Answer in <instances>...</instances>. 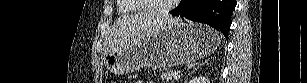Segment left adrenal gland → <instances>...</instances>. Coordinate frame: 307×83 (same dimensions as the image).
Segmentation results:
<instances>
[{"label": "left adrenal gland", "instance_id": "1", "mask_svg": "<svg viewBox=\"0 0 307 83\" xmlns=\"http://www.w3.org/2000/svg\"><path fill=\"white\" fill-rule=\"evenodd\" d=\"M204 63L200 64L197 66V68H195L193 71L197 70L199 67H201Z\"/></svg>", "mask_w": 307, "mask_h": 83}]
</instances>
